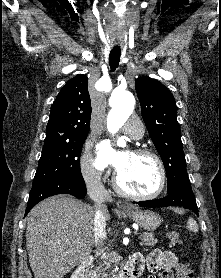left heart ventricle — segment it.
I'll return each mask as SVG.
<instances>
[{
	"label": "left heart ventricle",
	"instance_id": "1",
	"mask_svg": "<svg viewBox=\"0 0 221 278\" xmlns=\"http://www.w3.org/2000/svg\"><path fill=\"white\" fill-rule=\"evenodd\" d=\"M126 153V158L118 169L122 186L140 194L154 192L160 179L155 160L132 152Z\"/></svg>",
	"mask_w": 221,
	"mask_h": 278
}]
</instances>
